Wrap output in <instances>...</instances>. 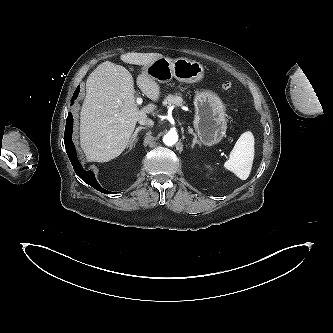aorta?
Wrapping results in <instances>:
<instances>
[{
	"label": "aorta",
	"mask_w": 333,
	"mask_h": 333,
	"mask_svg": "<svg viewBox=\"0 0 333 333\" xmlns=\"http://www.w3.org/2000/svg\"><path fill=\"white\" fill-rule=\"evenodd\" d=\"M178 141V135L174 131H169L164 137L163 142L167 146H172Z\"/></svg>",
	"instance_id": "762f6f07"
}]
</instances>
